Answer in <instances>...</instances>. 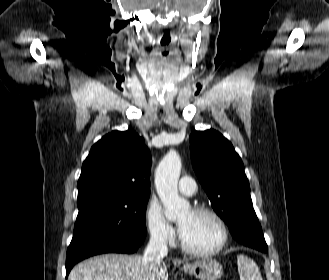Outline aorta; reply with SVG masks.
I'll return each instance as SVG.
<instances>
[{
  "label": "aorta",
  "instance_id": "obj_1",
  "mask_svg": "<svg viewBox=\"0 0 329 280\" xmlns=\"http://www.w3.org/2000/svg\"><path fill=\"white\" fill-rule=\"evenodd\" d=\"M180 172V156L176 151L170 150L159 163L155 173L156 190L168 219L179 218L189 210V203L178 194Z\"/></svg>",
  "mask_w": 329,
  "mask_h": 280
}]
</instances>
